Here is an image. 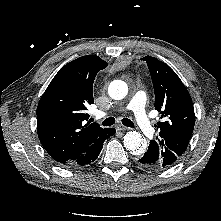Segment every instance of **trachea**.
<instances>
[{
	"label": "trachea",
	"instance_id": "obj_1",
	"mask_svg": "<svg viewBox=\"0 0 221 221\" xmlns=\"http://www.w3.org/2000/svg\"><path fill=\"white\" fill-rule=\"evenodd\" d=\"M121 121H122V124L127 127H131V128L135 127L134 123L128 118H123ZM114 123H115V119L113 117H109L102 122V125L111 126Z\"/></svg>",
	"mask_w": 221,
	"mask_h": 221
}]
</instances>
